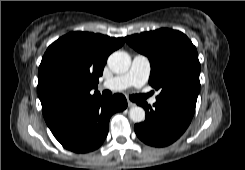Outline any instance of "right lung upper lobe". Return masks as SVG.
<instances>
[{"instance_id": "obj_1", "label": "right lung upper lobe", "mask_w": 245, "mask_h": 170, "mask_svg": "<svg viewBox=\"0 0 245 170\" xmlns=\"http://www.w3.org/2000/svg\"><path fill=\"white\" fill-rule=\"evenodd\" d=\"M123 44V38L71 32L48 47L39 66L38 95L49 128L100 96L90 91L97 88L108 56Z\"/></svg>"}]
</instances>
